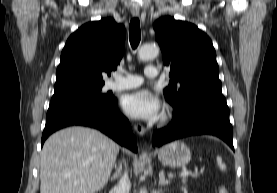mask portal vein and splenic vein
Listing matches in <instances>:
<instances>
[{"label": "portal vein and splenic vein", "instance_id": "18ae733b", "mask_svg": "<svg viewBox=\"0 0 277 193\" xmlns=\"http://www.w3.org/2000/svg\"><path fill=\"white\" fill-rule=\"evenodd\" d=\"M189 174H190L189 171H183L180 173L179 176L184 178V177H187ZM195 174H198V172L196 171Z\"/></svg>", "mask_w": 277, "mask_h": 193}]
</instances>
